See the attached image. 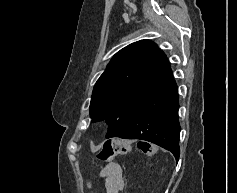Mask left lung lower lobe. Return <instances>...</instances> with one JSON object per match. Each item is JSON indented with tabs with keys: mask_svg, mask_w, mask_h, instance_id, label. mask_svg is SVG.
Here are the masks:
<instances>
[{
	"mask_svg": "<svg viewBox=\"0 0 237 193\" xmlns=\"http://www.w3.org/2000/svg\"><path fill=\"white\" fill-rule=\"evenodd\" d=\"M178 88L168 70L145 92L117 137L141 139L169 150L179 160Z\"/></svg>",
	"mask_w": 237,
	"mask_h": 193,
	"instance_id": "obj_1",
	"label": "left lung lower lobe"
}]
</instances>
